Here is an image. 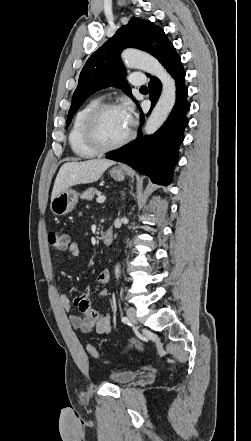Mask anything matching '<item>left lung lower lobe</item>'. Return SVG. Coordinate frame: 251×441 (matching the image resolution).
<instances>
[{
    "mask_svg": "<svg viewBox=\"0 0 251 441\" xmlns=\"http://www.w3.org/2000/svg\"><path fill=\"white\" fill-rule=\"evenodd\" d=\"M162 65L167 68L176 82L177 99L168 119L153 135L143 136L139 133L132 143L115 150L106 158L128 164L140 173L148 175L153 183L168 185L172 182L173 170L178 159V149L184 139V129L188 124L186 113L190 104L187 101L188 89L185 85V71L174 47L170 49ZM148 86L151 111L159 99L162 84L158 78L151 77ZM141 116L142 126L143 113Z\"/></svg>",
    "mask_w": 251,
    "mask_h": 441,
    "instance_id": "1",
    "label": "left lung lower lobe"
}]
</instances>
